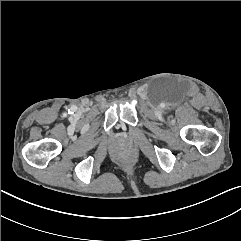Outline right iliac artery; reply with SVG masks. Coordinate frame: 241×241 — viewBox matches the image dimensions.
Segmentation results:
<instances>
[{
	"label": "right iliac artery",
	"instance_id": "1",
	"mask_svg": "<svg viewBox=\"0 0 241 241\" xmlns=\"http://www.w3.org/2000/svg\"><path fill=\"white\" fill-rule=\"evenodd\" d=\"M71 110L75 111V108H71Z\"/></svg>",
	"mask_w": 241,
	"mask_h": 241
}]
</instances>
